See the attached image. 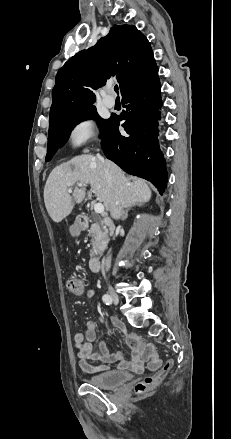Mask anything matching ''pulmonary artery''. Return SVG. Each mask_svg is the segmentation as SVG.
<instances>
[{"label":"pulmonary artery","mask_w":231,"mask_h":439,"mask_svg":"<svg viewBox=\"0 0 231 439\" xmlns=\"http://www.w3.org/2000/svg\"><path fill=\"white\" fill-rule=\"evenodd\" d=\"M103 104L108 107V108H112L115 105V101L112 97H110L109 95L105 94L103 96Z\"/></svg>","instance_id":"obj_1"}]
</instances>
